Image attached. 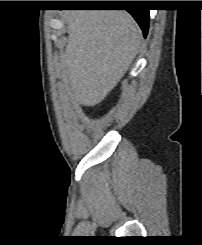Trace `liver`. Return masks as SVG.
I'll use <instances>...</instances> for the list:
<instances>
[{
  "label": "liver",
  "mask_w": 202,
  "mask_h": 245,
  "mask_svg": "<svg viewBox=\"0 0 202 245\" xmlns=\"http://www.w3.org/2000/svg\"><path fill=\"white\" fill-rule=\"evenodd\" d=\"M69 36L61 63L74 103L95 106L117 85L140 50L142 31L122 10L68 13Z\"/></svg>",
  "instance_id": "1"
}]
</instances>
